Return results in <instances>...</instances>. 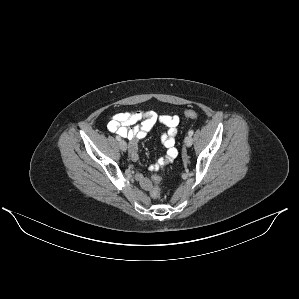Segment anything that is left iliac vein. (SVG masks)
<instances>
[{
	"label": "left iliac vein",
	"instance_id": "left-iliac-vein-1",
	"mask_svg": "<svg viewBox=\"0 0 299 299\" xmlns=\"http://www.w3.org/2000/svg\"><path fill=\"white\" fill-rule=\"evenodd\" d=\"M184 143L187 147H190L193 143V139L190 135L186 136L184 139Z\"/></svg>",
	"mask_w": 299,
	"mask_h": 299
}]
</instances>
